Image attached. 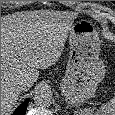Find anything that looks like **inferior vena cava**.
I'll use <instances>...</instances> for the list:
<instances>
[{
	"mask_svg": "<svg viewBox=\"0 0 115 115\" xmlns=\"http://www.w3.org/2000/svg\"><path fill=\"white\" fill-rule=\"evenodd\" d=\"M25 82L24 81H17L14 85V88L15 89H18L20 91L24 90V87H25Z\"/></svg>",
	"mask_w": 115,
	"mask_h": 115,
	"instance_id": "1",
	"label": "inferior vena cava"
}]
</instances>
